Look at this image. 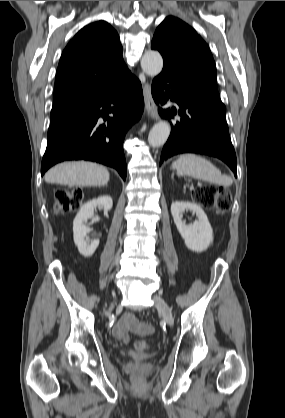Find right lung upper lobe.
Returning <instances> with one entry per match:
<instances>
[{
    "mask_svg": "<svg viewBox=\"0 0 285 418\" xmlns=\"http://www.w3.org/2000/svg\"><path fill=\"white\" fill-rule=\"evenodd\" d=\"M118 33L105 21L82 28L64 49L52 109L82 106L122 85L131 75Z\"/></svg>",
    "mask_w": 285,
    "mask_h": 418,
    "instance_id": "obj_1",
    "label": "right lung upper lobe"
}]
</instances>
